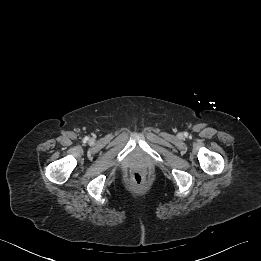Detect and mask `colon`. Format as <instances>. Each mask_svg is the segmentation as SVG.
Segmentation results:
<instances>
[{"label":"colon","instance_id":"obj_1","mask_svg":"<svg viewBox=\"0 0 261 261\" xmlns=\"http://www.w3.org/2000/svg\"><path fill=\"white\" fill-rule=\"evenodd\" d=\"M130 179L133 184L138 185V186L143 185L147 180L145 173L142 171L132 172Z\"/></svg>","mask_w":261,"mask_h":261}]
</instances>
